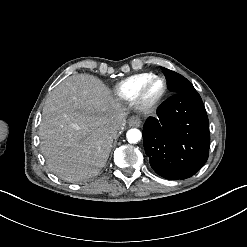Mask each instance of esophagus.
I'll use <instances>...</instances> for the list:
<instances>
[{"label":"esophagus","mask_w":247,"mask_h":247,"mask_svg":"<svg viewBox=\"0 0 247 247\" xmlns=\"http://www.w3.org/2000/svg\"><path fill=\"white\" fill-rule=\"evenodd\" d=\"M128 124L131 126V127H139L141 125V119L139 116L137 115H134V116H131L129 119H128Z\"/></svg>","instance_id":"obj_1"}]
</instances>
